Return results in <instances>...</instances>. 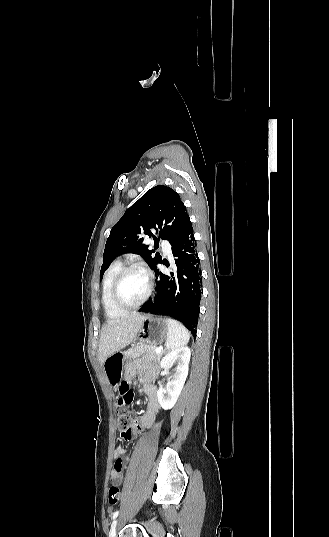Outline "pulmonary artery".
<instances>
[{
    "label": "pulmonary artery",
    "mask_w": 329,
    "mask_h": 537,
    "mask_svg": "<svg viewBox=\"0 0 329 537\" xmlns=\"http://www.w3.org/2000/svg\"><path fill=\"white\" fill-rule=\"evenodd\" d=\"M163 251L165 254L171 253V246L167 242H163Z\"/></svg>",
    "instance_id": "obj_1"
}]
</instances>
